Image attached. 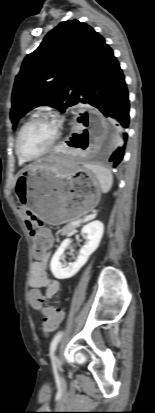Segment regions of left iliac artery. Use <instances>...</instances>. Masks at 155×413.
<instances>
[{
  "instance_id": "44dca946",
  "label": "left iliac artery",
  "mask_w": 155,
  "mask_h": 413,
  "mask_svg": "<svg viewBox=\"0 0 155 413\" xmlns=\"http://www.w3.org/2000/svg\"><path fill=\"white\" fill-rule=\"evenodd\" d=\"M62 334H63L62 331L58 332V333L56 334V336L54 337V339L52 340V342H51V345H50V356H51V359H52V360L54 359V352H55V350H56V347H57V344H58L59 340H60L61 337H62Z\"/></svg>"
}]
</instances>
